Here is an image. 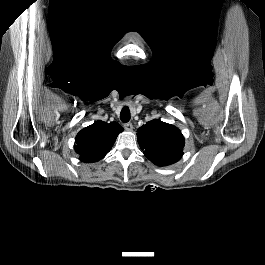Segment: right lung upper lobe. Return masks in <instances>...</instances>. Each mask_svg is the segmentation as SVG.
Instances as JSON below:
<instances>
[{
    "label": "right lung upper lobe",
    "instance_id": "obj_1",
    "mask_svg": "<svg viewBox=\"0 0 265 265\" xmlns=\"http://www.w3.org/2000/svg\"><path fill=\"white\" fill-rule=\"evenodd\" d=\"M123 128L117 122L96 121L82 129L75 138V151L85 163L97 162L112 148Z\"/></svg>",
    "mask_w": 265,
    "mask_h": 265
}]
</instances>
